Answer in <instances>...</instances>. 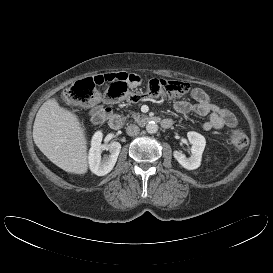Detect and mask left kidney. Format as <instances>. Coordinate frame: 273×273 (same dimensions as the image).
I'll return each instance as SVG.
<instances>
[{"label": "left kidney", "instance_id": "1", "mask_svg": "<svg viewBox=\"0 0 273 273\" xmlns=\"http://www.w3.org/2000/svg\"><path fill=\"white\" fill-rule=\"evenodd\" d=\"M189 142L192 145L191 156L187 158L185 154L180 151H174L173 156L178 163L188 170L196 169L201 164L202 154L206 145V140L201 134L190 131L187 133Z\"/></svg>", "mask_w": 273, "mask_h": 273}]
</instances>
